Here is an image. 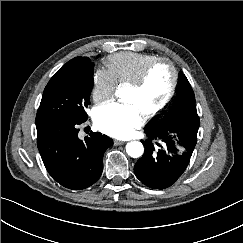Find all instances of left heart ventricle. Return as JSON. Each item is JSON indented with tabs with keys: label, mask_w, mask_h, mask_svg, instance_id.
Segmentation results:
<instances>
[{
	"label": "left heart ventricle",
	"mask_w": 243,
	"mask_h": 243,
	"mask_svg": "<svg viewBox=\"0 0 243 243\" xmlns=\"http://www.w3.org/2000/svg\"><path fill=\"white\" fill-rule=\"evenodd\" d=\"M172 82V71L168 64L155 66L139 89L127 87L124 99L135 104L143 115L156 108L167 96Z\"/></svg>",
	"instance_id": "1"
}]
</instances>
